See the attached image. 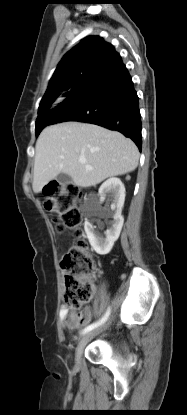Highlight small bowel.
Returning a JSON list of instances; mask_svg holds the SVG:
<instances>
[{
  "instance_id": "obj_1",
  "label": "small bowel",
  "mask_w": 187,
  "mask_h": 415,
  "mask_svg": "<svg viewBox=\"0 0 187 415\" xmlns=\"http://www.w3.org/2000/svg\"><path fill=\"white\" fill-rule=\"evenodd\" d=\"M60 314L63 327L69 331L79 329L91 321V311L89 308L76 312L67 307H62Z\"/></svg>"
}]
</instances>
